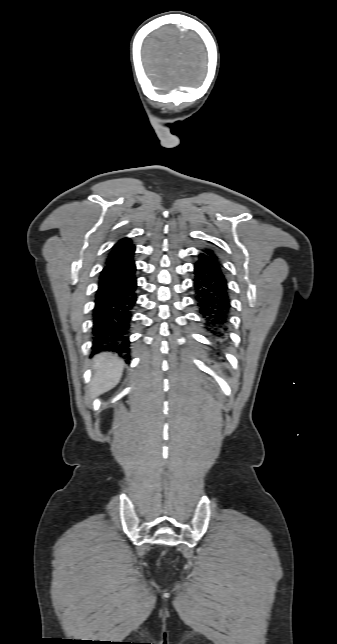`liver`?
<instances>
[{"instance_id": "6515ba94", "label": "liver", "mask_w": 337, "mask_h": 644, "mask_svg": "<svg viewBox=\"0 0 337 644\" xmlns=\"http://www.w3.org/2000/svg\"><path fill=\"white\" fill-rule=\"evenodd\" d=\"M123 367V360L116 355L110 353L96 355L92 361L94 375L88 391L89 398L94 399L114 388L120 381Z\"/></svg>"}]
</instances>
